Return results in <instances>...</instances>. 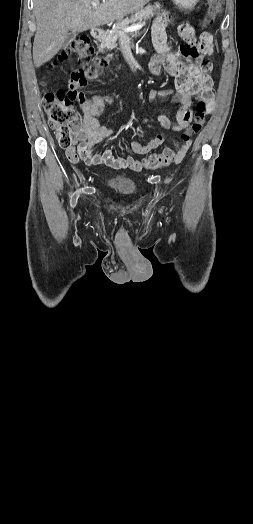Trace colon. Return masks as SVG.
<instances>
[{
  "mask_svg": "<svg viewBox=\"0 0 253 524\" xmlns=\"http://www.w3.org/2000/svg\"><path fill=\"white\" fill-rule=\"evenodd\" d=\"M222 0L206 1L205 21L212 23L221 11ZM181 51V49H180ZM67 57L78 64V67L69 77L68 90L49 91L43 93L44 109L48 115L49 125L54 131L60 147L69 149L76 143L75 133L78 132L83 122L79 118L77 106L85 102L80 89L89 81L95 80L104 73L109 66L110 55L97 53L95 56L88 35L77 36L65 52ZM208 116L206 104L200 101L194 111L193 122L188 130L183 133L172 146L166 147L161 153L153 154L144 160L148 169L163 168L171 163L179 162L184 156L189 142L195 134L199 133Z\"/></svg>",
  "mask_w": 253,
  "mask_h": 524,
  "instance_id": "obj_1",
  "label": "colon"
}]
</instances>
